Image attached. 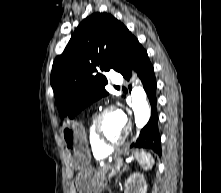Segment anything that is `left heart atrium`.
Returning <instances> with one entry per match:
<instances>
[{
  "instance_id": "39dd6f15",
  "label": "left heart atrium",
  "mask_w": 221,
  "mask_h": 193,
  "mask_svg": "<svg viewBox=\"0 0 221 193\" xmlns=\"http://www.w3.org/2000/svg\"><path fill=\"white\" fill-rule=\"evenodd\" d=\"M116 112H117V114L119 115V117H120L124 122H126L127 118H126L125 113H124L122 110H117Z\"/></svg>"
}]
</instances>
